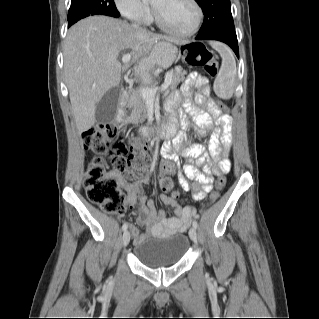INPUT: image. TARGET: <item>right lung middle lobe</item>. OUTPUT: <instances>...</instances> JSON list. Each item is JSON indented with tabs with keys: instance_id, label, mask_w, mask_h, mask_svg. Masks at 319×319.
I'll return each mask as SVG.
<instances>
[{
	"instance_id": "obj_1",
	"label": "right lung middle lobe",
	"mask_w": 319,
	"mask_h": 319,
	"mask_svg": "<svg viewBox=\"0 0 319 319\" xmlns=\"http://www.w3.org/2000/svg\"><path fill=\"white\" fill-rule=\"evenodd\" d=\"M118 14L113 0H72L68 11V26L91 15L116 17Z\"/></svg>"
}]
</instances>
